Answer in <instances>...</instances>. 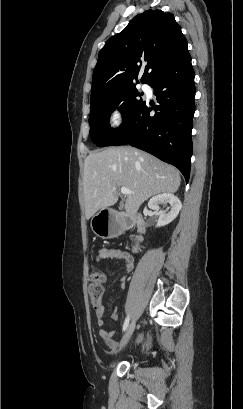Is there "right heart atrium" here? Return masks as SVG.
<instances>
[{
  "mask_svg": "<svg viewBox=\"0 0 243 409\" xmlns=\"http://www.w3.org/2000/svg\"><path fill=\"white\" fill-rule=\"evenodd\" d=\"M108 125L112 129L121 127L125 120V110L121 104L113 105L108 114Z\"/></svg>",
  "mask_w": 243,
  "mask_h": 409,
  "instance_id": "right-heart-atrium-1",
  "label": "right heart atrium"
}]
</instances>
